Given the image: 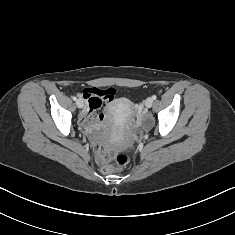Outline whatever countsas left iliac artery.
Here are the masks:
<instances>
[{
  "mask_svg": "<svg viewBox=\"0 0 235 235\" xmlns=\"http://www.w3.org/2000/svg\"><path fill=\"white\" fill-rule=\"evenodd\" d=\"M152 98H153V100H156L157 96H156V95H153Z\"/></svg>",
  "mask_w": 235,
  "mask_h": 235,
  "instance_id": "left-iliac-artery-1",
  "label": "left iliac artery"
}]
</instances>
